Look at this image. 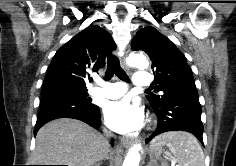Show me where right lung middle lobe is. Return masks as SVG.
Returning <instances> with one entry per match:
<instances>
[{
    "mask_svg": "<svg viewBox=\"0 0 236 166\" xmlns=\"http://www.w3.org/2000/svg\"><path fill=\"white\" fill-rule=\"evenodd\" d=\"M55 102L94 106V104L91 103V98L88 97L87 88H77L66 85L53 92L42 90L41 105L52 104Z\"/></svg>",
    "mask_w": 236,
    "mask_h": 166,
    "instance_id": "dd1d6c3e",
    "label": "right lung middle lobe"
}]
</instances>
